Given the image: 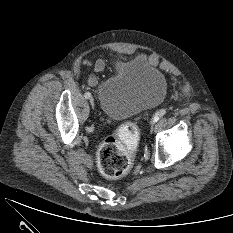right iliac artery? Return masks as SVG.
Segmentation results:
<instances>
[{"label": "right iliac artery", "mask_w": 233, "mask_h": 233, "mask_svg": "<svg viewBox=\"0 0 233 233\" xmlns=\"http://www.w3.org/2000/svg\"><path fill=\"white\" fill-rule=\"evenodd\" d=\"M84 96H85L86 99H89L91 97V93L90 92H86L84 94Z\"/></svg>", "instance_id": "right-iliac-artery-1"}]
</instances>
